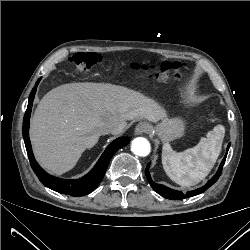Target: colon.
I'll use <instances>...</instances> for the list:
<instances>
[{
  "instance_id": "1",
  "label": "colon",
  "mask_w": 250,
  "mask_h": 250,
  "mask_svg": "<svg viewBox=\"0 0 250 250\" xmlns=\"http://www.w3.org/2000/svg\"><path fill=\"white\" fill-rule=\"evenodd\" d=\"M101 62L100 55L96 53H77L70 58L72 68L79 73H88ZM185 67L180 62L172 64L166 63L161 66L160 70L154 72V67L148 65L135 64L133 69L141 71L143 74L157 81L163 82L170 78L180 79L182 77L181 71Z\"/></svg>"
}]
</instances>
